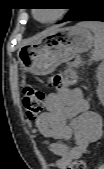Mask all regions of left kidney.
<instances>
[{"instance_id":"5707ae66","label":"left kidney","mask_w":104,"mask_h":169,"mask_svg":"<svg viewBox=\"0 0 104 169\" xmlns=\"http://www.w3.org/2000/svg\"><path fill=\"white\" fill-rule=\"evenodd\" d=\"M103 64L98 67L97 77L99 81V85L97 87V95L101 101L104 100V78H103Z\"/></svg>"}]
</instances>
